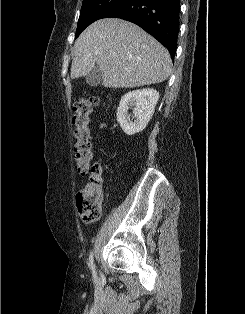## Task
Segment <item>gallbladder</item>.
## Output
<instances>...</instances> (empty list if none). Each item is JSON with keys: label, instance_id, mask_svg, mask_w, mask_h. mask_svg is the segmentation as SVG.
<instances>
[{"label": "gallbladder", "instance_id": "gallbladder-1", "mask_svg": "<svg viewBox=\"0 0 245 314\" xmlns=\"http://www.w3.org/2000/svg\"><path fill=\"white\" fill-rule=\"evenodd\" d=\"M103 72L95 66L87 75L86 83L92 87H97L103 80Z\"/></svg>", "mask_w": 245, "mask_h": 314}]
</instances>
